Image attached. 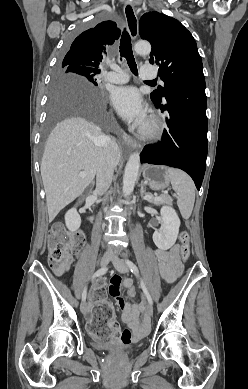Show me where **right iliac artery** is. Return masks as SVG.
Returning a JSON list of instances; mask_svg holds the SVG:
<instances>
[{
  "label": "right iliac artery",
  "mask_w": 248,
  "mask_h": 389,
  "mask_svg": "<svg viewBox=\"0 0 248 389\" xmlns=\"http://www.w3.org/2000/svg\"><path fill=\"white\" fill-rule=\"evenodd\" d=\"M108 268L104 267V268H101L99 270H97L94 275L92 276L91 279H94L95 277H98V276H101L103 274H105L107 272ZM86 295H87V289L85 288L83 293H82V300L85 301L86 300Z\"/></svg>",
  "instance_id": "82829eb1"
}]
</instances>
